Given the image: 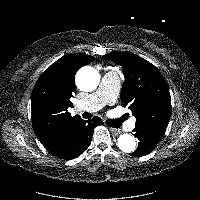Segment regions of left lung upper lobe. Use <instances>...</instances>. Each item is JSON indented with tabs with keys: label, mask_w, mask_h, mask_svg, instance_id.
Instances as JSON below:
<instances>
[{
	"label": "left lung upper lobe",
	"mask_w": 200,
	"mask_h": 200,
	"mask_svg": "<svg viewBox=\"0 0 200 200\" xmlns=\"http://www.w3.org/2000/svg\"><path fill=\"white\" fill-rule=\"evenodd\" d=\"M103 57L123 67L121 100L135 116V128L149 130L161 138L170 119L171 98L160 71L130 52H111Z\"/></svg>",
	"instance_id": "1"
}]
</instances>
